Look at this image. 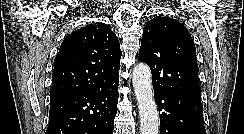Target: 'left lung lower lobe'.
<instances>
[{
	"label": "left lung lower lobe",
	"instance_id": "0a47b994",
	"mask_svg": "<svg viewBox=\"0 0 244 134\" xmlns=\"http://www.w3.org/2000/svg\"><path fill=\"white\" fill-rule=\"evenodd\" d=\"M161 134H206L201 98L154 90Z\"/></svg>",
	"mask_w": 244,
	"mask_h": 134
}]
</instances>
